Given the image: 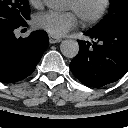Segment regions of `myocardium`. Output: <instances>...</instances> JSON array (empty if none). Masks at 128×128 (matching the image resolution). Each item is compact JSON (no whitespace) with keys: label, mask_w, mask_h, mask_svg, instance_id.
<instances>
[{"label":"myocardium","mask_w":128,"mask_h":128,"mask_svg":"<svg viewBox=\"0 0 128 128\" xmlns=\"http://www.w3.org/2000/svg\"><path fill=\"white\" fill-rule=\"evenodd\" d=\"M83 1L84 0H71L72 4L75 7L79 6ZM110 5H111V0H101V4L98 10L91 16L79 17L80 22L84 26H91L98 23L105 16Z\"/></svg>","instance_id":"myocardium-1"}]
</instances>
